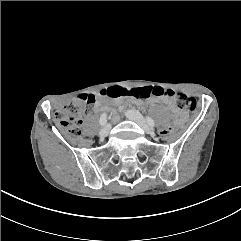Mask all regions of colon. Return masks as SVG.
<instances>
[{
    "instance_id": "colon-1",
    "label": "colon",
    "mask_w": 241,
    "mask_h": 241,
    "mask_svg": "<svg viewBox=\"0 0 241 241\" xmlns=\"http://www.w3.org/2000/svg\"><path fill=\"white\" fill-rule=\"evenodd\" d=\"M150 96L163 97L172 99L179 108L193 113L196 111L197 103L191 96L177 93L173 90L164 89L159 86H141V87H122L113 86L99 93V97L121 98L133 97L135 99H146ZM97 100L93 94H83L74 98L73 101L62 107L55 113V119L58 124L67 130L73 136L80 135V122L82 114L92 106ZM176 123H171L155 130L157 137L166 138L173 136L177 129Z\"/></svg>"
}]
</instances>
